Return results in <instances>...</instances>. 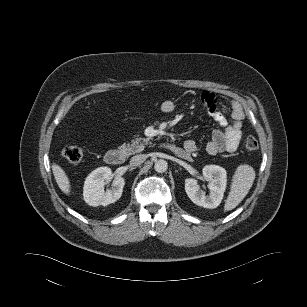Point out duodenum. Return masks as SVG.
I'll return each instance as SVG.
<instances>
[{
    "label": "duodenum",
    "instance_id": "410a0bca",
    "mask_svg": "<svg viewBox=\"0 0 307 307\" xmlns=\"http://www.w3.org/2000/svg\"><path fill=\"white\" fill-rule=\"evenodd\" d=\"M163 148L175 153L173 145L164 144ZM104 159L107 164L117 166L123 163L124 155L117 149H110L105 153Z\"/></svg>",
    "mask_w": 307,
    "mask_h": 307
}]
</instances>
